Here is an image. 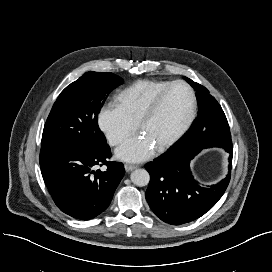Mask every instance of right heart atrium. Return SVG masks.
<instances>
[{
	"label": "right heart atrium",
	"instance_id": "obj_1",
	"mask_svg": "<svg viewBox=\"0 0 272 272\" xmlns=\"http://www.w3.org/2000/svg\"><path fill=\"white\" fill-rule=\"evenodd\" d=\"M98 129L112 146L122 144L135 130L136 124L117 106L104 103L96 115Z\"/></svg>",
	"mask_w": 272,
	"mask_h": 272
}]
</instances>
